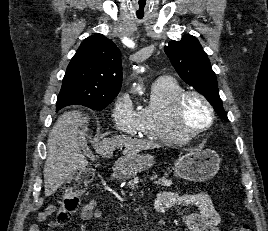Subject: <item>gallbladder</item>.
<instances>
[{
	"label": "gallbladder",
	"mask_w": 268,
	"mask_h": 231,
	"mask_svg": "<svg viewBox=\"0 0 268 231\" xmlns=\"http://www.w3.org/2000/svg\"><path fill=\"white\" fill-rule=\"evenodd\" d=\"M82 149H83V151H84V153H85L86 155H89V154H90V151L85 150V148H84V146H83V145H82Z\"/></svg>",
	"instance_id": "bac80fb5"
}]
</instances>
